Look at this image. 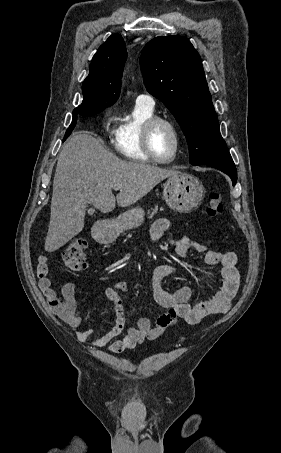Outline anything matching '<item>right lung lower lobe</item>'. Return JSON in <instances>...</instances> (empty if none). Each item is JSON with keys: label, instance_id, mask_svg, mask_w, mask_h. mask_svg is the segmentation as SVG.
Returning a JSON list of instances; mask_svg holds the SVG:
<instances>
[{"label": "right lung lower lobe", "instance_id": "obj_1", "mask_svg": "<svg viewBox=\"0 0 281 453\" xmlns=\"http://www.w3.org/2000/svg\"><path fill=\"white\" fill-rule=\"evenodd\" d=\"M100 113V111H97L95 109H85V110H74L73 111V120H72V123L71 125L69 126V128L67 129L66 131V134H65V137H64V140H66V138L71 134V132L73 131L75 125H76V122H77V116L81 115V116H85V117H89V116H93L95 114H98Z\"/></svg>", "mask_w": 281, "mask_h": 453}]
</instances>
